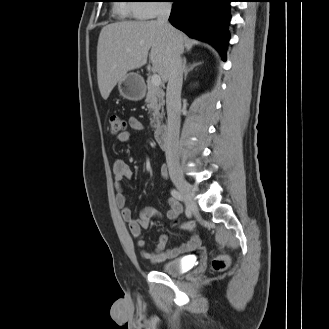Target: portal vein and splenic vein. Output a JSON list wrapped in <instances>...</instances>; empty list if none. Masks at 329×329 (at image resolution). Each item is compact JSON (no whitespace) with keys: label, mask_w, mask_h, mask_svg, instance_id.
Instances as JSON below:
<instances>
[{"label":"portal vein and splenic vein","mask_w":329,"mask_h":329,"mask_svg":"<svg viewBox=\"0 0 329 329\" xmlns=\"http://www.w3.org/2000/svg\"><path fill=\"white\" fill-rule=\"evenodd\" d=\"M151 84L153 85V86H156V87H159L160 85H161V77H160V75H158V74H153L152 76H151Z\"/></svg>","instance_id":"obj_1"}]
</instances>
